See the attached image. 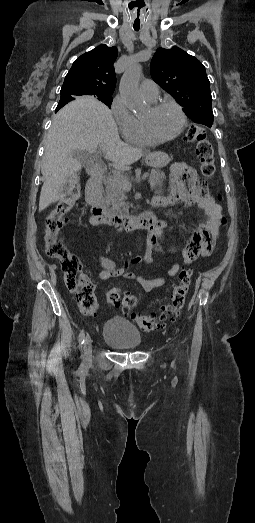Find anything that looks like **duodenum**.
I'll list each match as a JSON object with an SVG mask.
<instances>
[{"label": "duodenum", "mask_w": 255, "mask_h": 523, "mask_svg": "<svg viewBox=\"0 0 255 523\" xmlns=\"http://www.w3.org/2000/svg\"><path fill=\"white\" fill-rule=\"evenodd\" d=\"M87 172L90 179L86 188L85 200L91 207L93 224L121 227L126 231L138 228L151 229L156 225L157 216L153 211H146L139 215L116 214L108 211L104 204L102 189L104 164L91 162L87 165ZM152 204L154 207H164L167 205V200L163 197H156L152 200Z\"/></svg>", "instance_id": "obj_1"}]
</instances>
